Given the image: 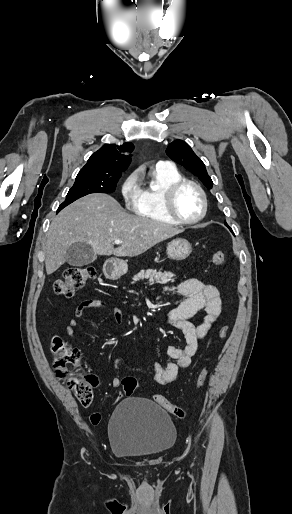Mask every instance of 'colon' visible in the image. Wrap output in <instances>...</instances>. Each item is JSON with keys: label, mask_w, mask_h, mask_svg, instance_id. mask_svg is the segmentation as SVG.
I'll use <instances>...</instances> for the list:
<instances>
[{"label": "colon", "mask_w": 292, "mask_h": 514, "mask_svg": "<svg viewBox=\"0 0 292 514\" xmlns=\"http://www.w3.org/2000/svg\"><path fill=\"white\" fill-rule=\"evenodd\" d=\"M226 261L225 252L217 249L212 255V263L215 266H221ZM96 270L91 266L72 267L64 272L62 278L54 283V293L60 298H70L74 292L83 288L94 278ZM229 331L227 324L221 325L217 331V338L223 340ZM51 353L53 356V371L55 375L65 380L66 385L72 391L78 403L82 406L90 405L94 400L93 389L97 384L95 376L88 373H81L80 367L83 364L84 357L80 350L70 347L61 337H53L51 340ZM209 370L204 367L199 372L196 386L202 388L208 377ZM138 387L135 377L128 376L122 381V389L127 397H131ZM154 400L164 410L176 416H183L184 412L181 408L176 407L168 399L160 394L153 396ZM100 419L99 413L90 415V421L97 424Z\"/></svg>", "instance_id": "colon-1"}]
</instances>
